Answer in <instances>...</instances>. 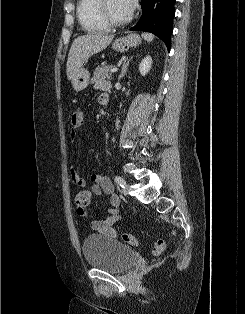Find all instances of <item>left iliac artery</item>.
<instances>
[{
  "mask_svg": "<svg viewBox=\"0 0 245 314\" xmlns=\"http://www.w3.org/2000/svg\"><path fill=\"white\" fill-rule=\"evenodd\" d=\"M115 182H116L119 186H121L122 188H124V186H125V184H126L125 180H124L122 177H120V176H115Z\"/></svg>",
  "mask_w": 245,
  "mask_h": 314,
  "instance_id": "1",
  "label": "left iliac artery"
}]
</instances>
